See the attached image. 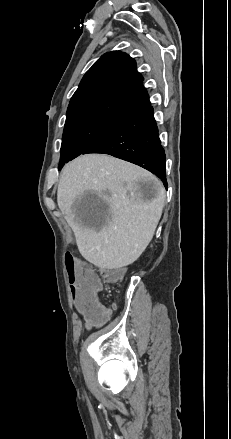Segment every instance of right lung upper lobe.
<instances>
[{"mask_svg":"<svg viewBox=\"0 0 231 439\" xmlns=\"http://www.w3.org/2000/svg\"><path fill=\"white\" fill-rule=\"evenodd\" d=\"M149 103L143 77L126 53H105L86 72L70 100L67 117L106 114L122 119Z\"/></svg>","mask_w":231,"mask_h":439,"instance_id":"obj_1","label":"right lung upper lobe"}]
</instances>
